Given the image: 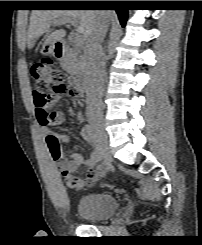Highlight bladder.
Here are the masks:
<instances>
[{
	"label": "bladder",
	"instance_id": "obj_1",
	"mask_svg": "<svg viewBox=\"0 0 202 245\" xmlns=\"http://www.w3.org/2000/svg\"><path fill=\"white\" fill-rule=\"evenodd\" d=\"M117 198L110 193H94L83 196L77 207V213L87 222L100 223L118 212Z\"/></svg>",
	"mask_w": 202,
	"mask_h": 245
}]
</instances>
